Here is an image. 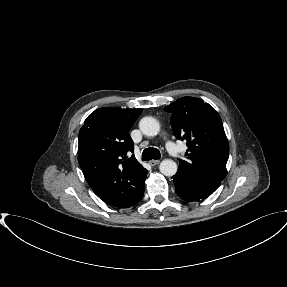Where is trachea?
Masks as SVG:
<instances>
[{"label":"trachea","instance_id":"obj_1","mask_svg":"<svg viewBox=\"0 0 287 287\" xmlns=\"http://www.w3.org/2000/svg\"><path fill=\"white\" fill-rule=\"evenodd\" d=\"M161 155L157 148H146L142 153V160L149 161L152 159H160Z\"/></svg>","mask_w":287,"mask_h":287}]
</instances>
